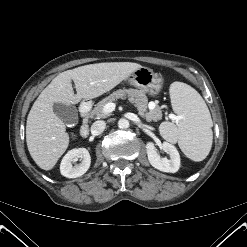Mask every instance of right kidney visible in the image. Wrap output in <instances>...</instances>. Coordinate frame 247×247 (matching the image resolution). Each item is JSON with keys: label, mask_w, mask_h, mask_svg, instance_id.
Returning a JSON list of instances; mask_svg holds the SVG:
<instances>
[{"label": "right kidney", "mask_w": 247, "mask_h": 247, "mask_svg": "<svg viewBox=\"0 0 247 247\" xmlns=\"http://www.w3.org/2000/svg\"><path fill=\"white\" fill-rule=\"evenodd\" d=\"M75 158H79L81 163L72 166ZM91 164V157L87 149L75 148L67 152L60 164V172L67 178H77L87 172Z\"/></svg>", "instance_id": "obj_1"}]
</instances>
